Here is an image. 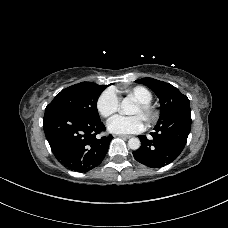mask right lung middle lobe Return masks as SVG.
<instances>
[{"instance_id":"right-lung-middle-lobe-1","label":"right lung middle lobe","mask_w":228,"mask_h":228,"mask_svg":"<svg viewBox=\"0 0 228 228\" xmlns=\"http://www.w3.org/2000/svg\"><path fill=\"white\" fill-rule=\"evenodd\" d=\"M106 85L81 82L63 89L46 107H62L86 118H99L97 99Z\"/></svg>"}]
</instances>
